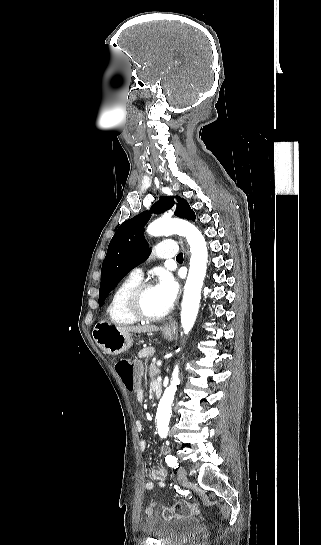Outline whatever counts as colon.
Here are the masks:
<instances>
[{
	"label": "colon",
	"mask_w": 321,
	"mask_h": 545,
	"mask_svg": "<svg viewBox=\"0 0 321 545\" xmlns=\"http://www.w3.org/2000/svg\"><path fill=\"white\" fill-rule=\"evenodd\" d=\"M115 370L121 378L125 388L129 391H134L137 388L136 372L133 364L126 360L121 359L115 364ZM197 512L195 504L190 502H179L173 507L164 510V514L168 517L171 516H187Z\"/></svg>",
	"instance_id": "5ec220e1"
}]
</instances>
